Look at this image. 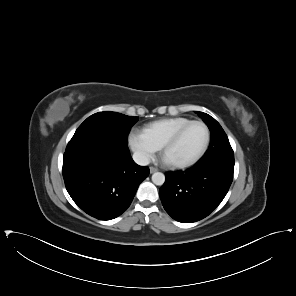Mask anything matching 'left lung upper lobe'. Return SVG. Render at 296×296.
Segmentation results:
<instances>
[{
	"mask_svg": "<svg viewBox=\"0 0 296 296\" xmlns=\"http://www.w3.org/2000/svg\"><path fill=\"white\" fill-rule=\"evenodd\" d=\"M197 114L207 124L211 133L209 149L198 163L207 165L220 159H234L233 150L220 124L206 113L197 112Z\"/></svg>",
	"mask_w": 296,
	"mask_h": 296,
	"instance_id": "obj_1",
	"label": "left lung upper lobe"
}]
</instances>
